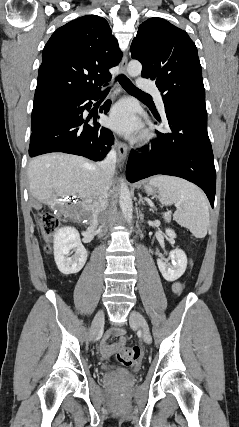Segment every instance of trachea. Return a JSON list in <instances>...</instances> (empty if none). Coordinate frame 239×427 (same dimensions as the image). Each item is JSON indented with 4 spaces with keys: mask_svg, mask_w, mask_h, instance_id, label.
I'll return each instance as SVG.
<instances>
[{
    "mask_svg": "<svg viewBox=\"0 0 239 427\" xmlns=\"http://www.w3.org/2000/svg\"><path fill=\"white\" fill-rule=\"evenodd\" d=\"M117 79L119 80V83L122 85V87L128 92L134 93L142 97H150V95L139 90L124 74L119 75ZM108 91L109 88L105 89V92Z\"/></svg>",
    "mask_w": 239,
    "mask_h": 427,
    "instance_id": "trachea-1",
    "label": "trachea"
}]
</instances>
